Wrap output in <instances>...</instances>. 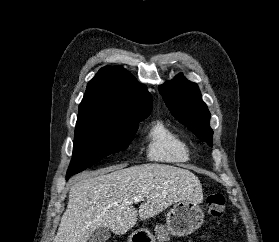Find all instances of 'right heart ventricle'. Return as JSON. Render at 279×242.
Wrapping results in <instances>:
<instances>
[{
    "label": "right heart ventricle",
    "instance_id": "1",
    "mask_svg": "<svg viewBox=\"0 0 279 242\" xmlns=\"http://www.w3.org/2000/svg\"><path fill=\"white\" fill-rule=\"evenodd\" d=\"M146 140L147 156L153 161L176 165L191 159L186 140L163 120L152 123Z\"/></svg>",
    "mask_w": 279,
    "mask_h": 242
}]
</instances>
